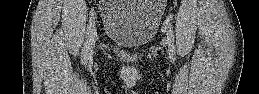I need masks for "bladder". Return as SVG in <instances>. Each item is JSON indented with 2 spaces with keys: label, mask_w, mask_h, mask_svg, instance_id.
Listing matches in <instances>:
<instances>
[{
  "label": "bladder",
  "mask_w": 259,
  "mask_h": 94,
  "mask_svg": "<svg viewBox=\"0 0 259 94\" xmlns=\"http://www.w3.org/2000/svg\"><path fill=\"white\" fill-rule=\"evenodd\" d=\"M162 9L155 1L110 0L102 8L105 35L126 49H139L155 36Z\"/></svg>",
  "instance_id": "bladder-1"
}]
</instances>
